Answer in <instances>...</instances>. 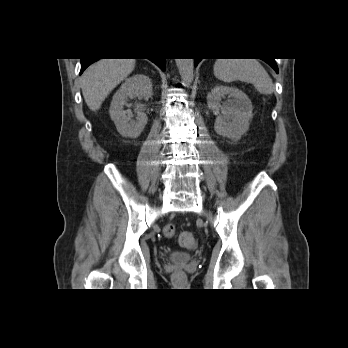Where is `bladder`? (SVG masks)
Instances as JSON below:
<instances>
[{"instance_id":"1","label":"bladder","mask_w":348,"mask_h":348,"mask_svg":"<svg viewBox=\"0 0 348 348\" xmlns=\"http://www.w3.org/2000/svg\"><path fill=\"white\" fill-rule=\"evenodd\" d=\"M192 258V255L186 252H173L170 255V259L174 261H189Z\"/></svg>"}]
</instances>
